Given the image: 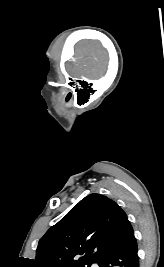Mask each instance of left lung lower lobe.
<instances>
[{"mask_svg":"<svg viewBox=\"0 0 164 267\" xmlns=\"http://www.w3.org/2000/svg\"><path fill=\"white\" fill-rule=\"evenodd\" d=\"M137 243L128 221L110 244L99 262V267H139Z\"/></svg>","mask_w":164,"mask_h":267,"instance_id":"obj_1","label":"left lung lower lobe"}]
</instances>
